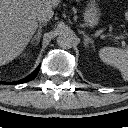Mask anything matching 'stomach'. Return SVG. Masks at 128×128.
Wrapping results in <instances>:
<instances>
[{
    "label": "stomach",
    "mask_w": 128,
    "mask_h": 128,
    "mask_svg": "<svg viewBox=\"0 0 128 128\" xmlns=\"http://www.w3.org/2000/svg\"><path fill=\"white\" fill-rule=\"evenodd\" d=\"M100 18L99 9L95 0H91L84 12V19L88 26H95L98 24Z\"/></svg>",
    "instance_id": "obj_1"
}]
</instances>
